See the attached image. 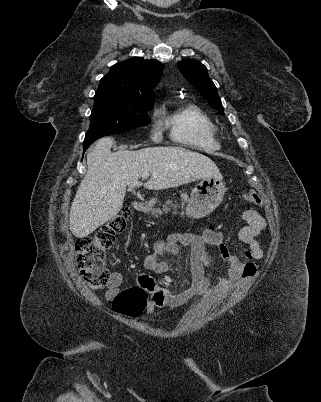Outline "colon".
Instances as JSON below:
<instances>
[{"mask_svg":"<svg viewBox=\"0 0 321 402\" xmlns=\"http://www.w3.org/2000/svg\"><path fill=\"white\" fill-rule=\"evenodd\" d=\"M246 198L253 204L263 205L262 198L253 192L248 193ZM131 217V209L124 208L120 214L110 219L93 235L77 238L76 263L82 280L91 290H102L108 283L110 272L104 263L105 253L111 248L115 237L124 230ZM147 302V292L142 287L133 286L115 297L114 308L123 316L136 318L143 313Z\"/></svg>","mask_w":321,"mask_h":402,"instance_id":"5ec220e1","label":"colon"}]
</instances>
